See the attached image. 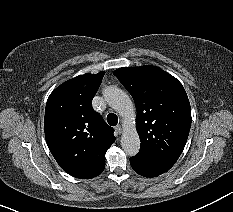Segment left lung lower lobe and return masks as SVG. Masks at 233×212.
<instances>
[{
  "label": "left lung lower lobe",
  "instance_id": "0a47b994",
  "mask_svg": "<svg viewBox=\"0 0 233 212\" xmlns=\"http://www.w3.org/2000/svg\"><path fill=\"white\" fill-rule=\"evenodd\" d=\"M130 164L135 172L145 177H156L166 172L174 165L162 162L143 153H138L131 157Z\"/></svg>",
  "mask_w": 233,
  "mask_h": 212
}]
</instances>
